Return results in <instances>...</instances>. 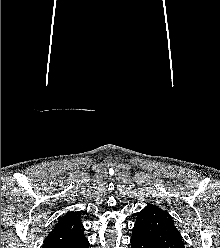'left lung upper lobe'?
I'll return each mask as SVG.
<instances>
[{
  "label": "left lung upper lobe",
  "mask_w": 220,
  "mask_h": 248,
  "mask_svg": "<svg viewBox=\"0 0 220 248\" xmlns=\"http://www.w3.org/2000/svg\"><path fill=\"white\" fill-rule=\"evenodd\" d=\"M134 228L140 229L160 248H184L172 217L158 206L148 205L140 211Z\"/></svg>",
  "instance_id": "left-lung-upper-lobe-1"
}]
</instances>
